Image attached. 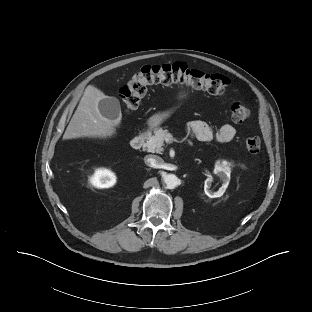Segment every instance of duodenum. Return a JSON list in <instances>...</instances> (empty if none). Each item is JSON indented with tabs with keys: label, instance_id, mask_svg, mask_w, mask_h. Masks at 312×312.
I'll return each mask as SVG.
<instances>
[{
	"label": "duodenum",
	"instance_id": "duodenum-1",
	"mask_svg": "<svg viewBox=\"0 0 312 312\" xmlns=\"http://www.w3.org/2000/svg\"><path fill=\"white\" fill-rule=\"evenodd\" d=\"M145 139L146 132L139 133L131 139L130 145L133 149H140L144 145Z\"/></svg>",
	"mask_w": 312,
	"mask_h": 312
}]
</instances>
